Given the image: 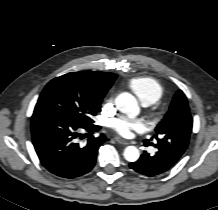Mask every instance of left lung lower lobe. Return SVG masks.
I'll list each match as a JSON object with an SVG mask.
<instances>
[{"mask_svg": "<svg viewBox=\"0 0 218 210\" xmlns=\"http://www.w3.org/2000/svg\"><path fill=\"white\" fill-rule=\"evenodd\" d=\"M145 143L149 144L148 140H145ZM150 145L157 148L155 153L149 154L144 152L139 160L129 164L131 169L146 176H155L166 172L172 168L183 155L181 152L165 153L159 145L153 143H150Z\"/></svg>", "mask_w": 218, "mask_h": 210, "instance_id": "obj_1", "label": "left lung lower lobe"}]
</instances>
